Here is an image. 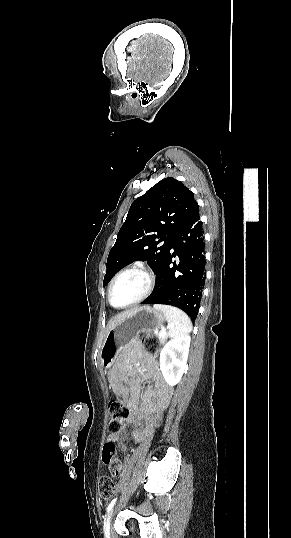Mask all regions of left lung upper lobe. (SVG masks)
Segmentation results:
<instances>
[{"label":"left lung upper lobe","instance_id":"5c2ea615","mask_svg":"<svg viewBox=\"0 0 291 538\" xmlns=\"http://www.w3.org/2000/svg\"><path fill=\"white\" fill-rule=\"evenodd\" d=\"M198 209L193 193L172 177L137 198L109 252L103 286L136 260L147 261L156 273L175 234Z\"/></svg>","mask_w":291,"mask_h":538}]
</instances>
